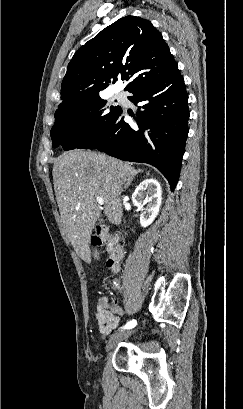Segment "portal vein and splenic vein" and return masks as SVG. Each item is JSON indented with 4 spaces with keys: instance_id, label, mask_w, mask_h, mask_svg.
I'll use <instances>...</instances> for the list:
<instances>
[{
    "instance_id": "portal-vein-and-splenic-vein-1",
    "label": "portal vein and splenic vein",
    "mask_w": 243,
    "mask_h": 409,
    "mask_svg": "<svg viewBox=\"0 0 243 409\" xmlns=\"http://www.w3.org/2000/svg\"><path fill=\"white\" fill-rule=\"evenodd\" d=\"M96 201L99 205H103L104 204V200L102 197L96 196Z\"/></svg>"
}]
</instances>
